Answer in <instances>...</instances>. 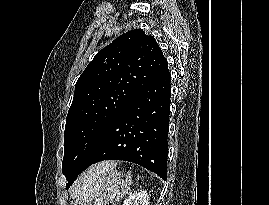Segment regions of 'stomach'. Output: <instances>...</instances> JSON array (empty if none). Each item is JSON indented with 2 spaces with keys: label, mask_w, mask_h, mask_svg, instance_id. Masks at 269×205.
I'll return each instance as SVG.
<instances>
[{
  "label": "stomach",
  "mask_w": 269,
  "mask_h": 205,
  "mask_svg": "<svg viewBox=\"0 0 269 205\" xmlns=\"http://www.w3.org/2000/svg\"><path fill=\"white\" fill-rule=\"evenodd\" d=\"M121 181L119 171L112 169L105 172L84 195L76 197L75 205H107L113 200H120L125 193L121 189Z\"/></svg>",
  "instance_id": "stomach-1"
}]
</instances>
